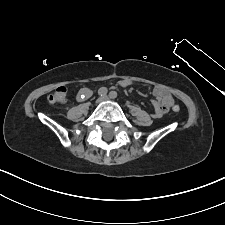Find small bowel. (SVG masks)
<instances>
[{
  "label": "small bowel",
  "mask_w": 225,
  "mask_h": 225,
  "mask_svg": "<svg viewBox=\"0 0 225 225\" xmlns=\"http://www.w3.org/2000/svg\"><path fill=\"white\" fill-rule=\"evenodd\" d=\"M134 82L132 80L124 79L119 82L120 87L125 88L132 85ZM153 99L152 103L154 105V112L152 116L154 118H160L163 114L173 105V96L162 87H155L153 89ZM91 96V90L88 88H81L77 94V100L83 101Z\"/></svg>",
  "instance_id": "small-bowel-1"
}]
</instances>
